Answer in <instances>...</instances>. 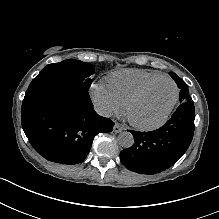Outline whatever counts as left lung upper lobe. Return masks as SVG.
Masks as SVG:
<instances>
[{"label": "left lung upper lobe", "instance_id": "left-lung-upper-lobe-1", "mask_svg": "<svg viewBox=\"0 0 219 219\" xmlns=\"http://www.w3.org/2000/svg\"><path fill=\"white\" fill-rule=\"evenodd\" d=\"M170 76L175 80L178 88H180V96H179L180 103L191 101L187 84L175 73H170Z\"/></svg>", "mask_w": 219, "mask_h": 219}]
</instances>
